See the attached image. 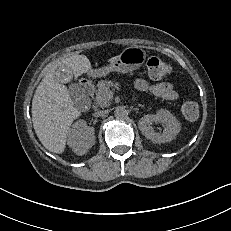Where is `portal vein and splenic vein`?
<instances>
[{
  "label": "portal vein and splenic vein",
  "instance_id": "1",
  "mask_svg": "<svg viewBox=\"0 0 231 231\" xmlns=\"http://www.w3.org/2000/svg\"><path fill=\"white\" fill-rule=\"evenodd\" d=\"M110 94H111V95H113V92H112V91H110Z\"/></svg>",
  "mask_w": 231,
  "mask_h": 231
}]
</instances>
